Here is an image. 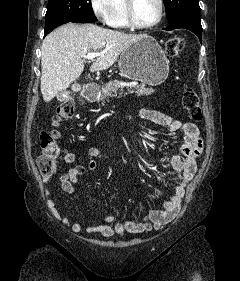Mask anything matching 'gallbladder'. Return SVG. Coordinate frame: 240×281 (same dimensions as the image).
I'll use <instances>...</instances> for the list:
<instances>
[{
  "label": "gallbladder",
  "instance_id": "gallbladder-1",
  "mask_svg": "<svg viewBox=\"0 0 240 281\" xmlns=\"http://www.w3.org/2000/svg\"><path fill=\"white\" fill-rule=\"evenodd\" d=\"M57 99H58V100H63V99H64V97H63V95H62V92H59V93L57 94Z\"/></svg>",
  "mask_w": 240,
  "mask_h": 281
}]
</instances>
